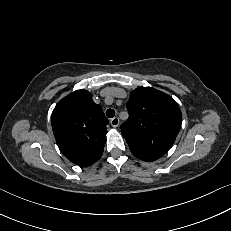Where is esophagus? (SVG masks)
<instances>
[{
	"label": "esophagus",
	"mask_w": 231,
	"mask_h": 231,
	"mask_svg": "<svg viewBox=\"0 0 231 231\" xmlns=\"http://www.w3.org/2000/svg\"><path fill=\"white\" fill-rule=\"evenodd\" d=\"M110 123H111L112 127H118L120 120L118 117H114L110 120Z\"/></svg>",
	"instance_id": "esophagus-1"
}]
</instances>
